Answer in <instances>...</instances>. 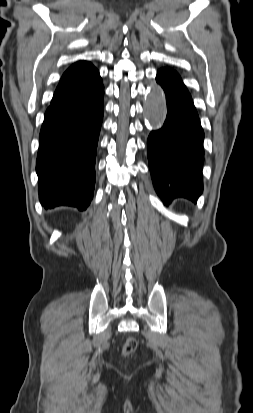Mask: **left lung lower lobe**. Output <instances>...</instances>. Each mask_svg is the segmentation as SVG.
<instances>
[{"instance_id":"0a47b994","label":"left lung lower lobe","mask_w":253,"mask_h":413,"mask_svg":"<svg viewBox=\"0 0 253 413\" xmlns=\"http://www.w3.org/2000/svg\"><path fill=\"white\" fill-rule=\"evenodd\" d=\"M167 117L162 128L147 140L149 168L154 188L164 204L174 198L196 201L203 191L204 132L191 95L177 72L158 71Z\"/></svg>"}]
</instances>
